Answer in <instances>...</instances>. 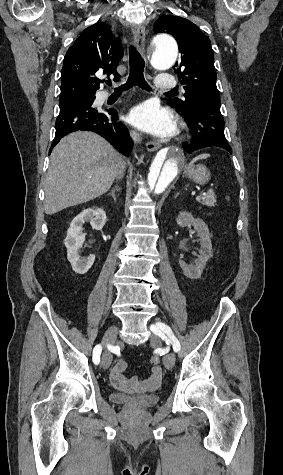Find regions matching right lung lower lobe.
Here are the masks:
<instances>
[{
	"mask_svg": "<svg viewBox=\"0 0 283 475\" xmlns=\"http://www.w3.org/2000/svg\"><path fill=\"white\" fill-rule=\"evenodd\" d=\"M94 99L73 100L60 104V113L55 123L54 147L61 138L75 131H92L108 140L123 155H129L133 142L127 127L118 121L114 109H96ZM52 149L49 150L51 153Z\"/></svg>",
	"mask_w": 283,
	"mask_h": 475,
	"instance_id": "right-lung-lower-lobe-1",
	"label": "right lung lower lobe"
}]
</instances>
